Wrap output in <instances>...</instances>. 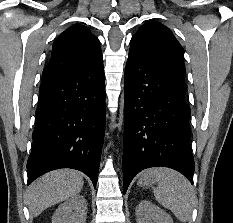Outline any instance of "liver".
<instances>
[{"mask_svg":"<svg viewBox=\"0 0 233 223\" xmlns=\"http://www.w3.org/2000/svg\"><path fill=\"white\" fill-rule=\"evenodd\" d=\"M83 183L82 173L75 169H55V171L45 173L31 185L27 195L31 213L37 217L47 207L69 199L72 195H77Z\"/></svg>","mask_w":233,"mask_h":223,"instance_id":"liver-1","label":"liver"}]
</instances>
